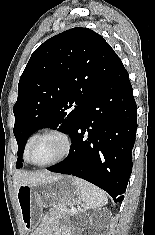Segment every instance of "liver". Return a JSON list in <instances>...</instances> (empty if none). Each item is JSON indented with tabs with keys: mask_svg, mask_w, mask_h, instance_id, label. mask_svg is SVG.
Wrapping results in <instances>:
<instances>
[{
	"mask_svg": "<svg viewBox=\"0 0 155 235\" xmlns=\"http://www.w3.org/2000/svg\"><path fill=\"white\" fill-rule=\"evenodd\" d=\"M58 177H59L58 175H52L48 172H26V171L18 170L15 172L13 176V182H14L15 191L17 193L18 188L21 185L43 183V182L51 181Z\"/></svg>",
	"mask_w": 155,
	"mask_h": 235,
	"instance_id": "liver-1",
	"label": "liver"
}]
</instances>
